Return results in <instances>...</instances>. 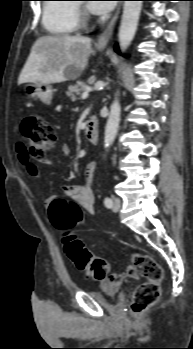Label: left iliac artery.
Listing matches in <instances>:
<instances>
[{"label": "left iliac artery", "instance_id": "1", "mask_svg": "<svg viewBox=\"0 0 193 349\" xmlns=\"http://www.w3.org/2000/svg\"><path fill=\"white\" fill-rule=\"evenodd\" d=\"M104 204H105V206H106L107 208H111V206H112V200H111L109 197H106V198L104 199Z\"/></svg>", "mask_w": 193, "mask_h": 349}]
</instances>
